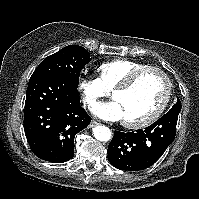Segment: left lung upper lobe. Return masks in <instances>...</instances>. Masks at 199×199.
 <instances>
[{"label": "left lung upper lobe", "mask_w": 199, "mask_h": 199, "mask_svg": "<svg viewBox=\"0 0 199 199\" xmlns=\"http://www.w3.org/2000/svg\"><path fill=\"white\" fill-rule=\"evenodd\" d=\"M170 110H176L179 112L181 111V102L179 99L177 100V103Z\"/></svg>", "instance_id": "1"}]
</instances>
